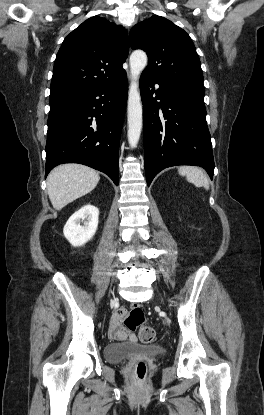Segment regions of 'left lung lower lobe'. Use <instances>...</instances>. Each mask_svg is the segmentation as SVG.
Wrapping results in <instances>:
<instances>
[{
  "mask_svg": "<svg viewBox=\"0 0 264 415\" xmlns=\"http://www.w3.org/2000/svg\"><path fill=\"white\" fill-rule=\"evenodd\" d=\"M155 83L159 84L157 90L153 89ZM140 90L147 185L161 170L176 165L203 167L212 179L215 165L205 89L159 81L142 73Z\"/></svg>",
  "mask_w": 264,
  "mask_h": 415,
  "instance_id": "1",
  "label": "left lung lower lobe"
}]
</instances>
